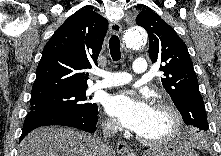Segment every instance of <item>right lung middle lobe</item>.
<instances>
[{
  "label": "right lung middle lobe",
  "mask_w": 221,
  "mask_h": 156,
  "mask_svg": "<svg viewBox=\"0 0 221 156\" xmlns=\"http://www.w3.org/2000/svg\"><path fill=\"white\" fill-rule=\"evenodd\" d=\"M30 111L83 114L96 113L98 107L97 104L88 102L86 89H82L31 99Z\"/></svg>",
  "instance_id": "1"
}]
</instances>
